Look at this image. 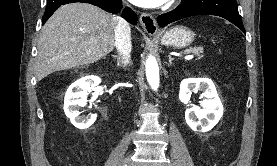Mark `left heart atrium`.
Returning <instances> with one entry per match:
<instances>
[{
    "label": "left heart atrium",
    "instance_id": "39dd6f15",
    "mask_svg": "<svg viewBox=\"0 0 277 166\" xmlns=\"http://www.w3.org/2000/svg\"><path fill=\"white\" fill-rule=\"evenodd\" d=\"M131 3L145 8H155L165 4L168 0H129Z\"/></svg>",
    "mask_w": 277,
    "mask_h": 166
}]
</instances>
